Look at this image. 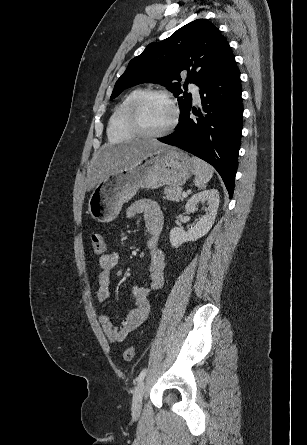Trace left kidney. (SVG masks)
I'll return each instance as SVG.
<instances>
[{"label": "left kidney", "instance_id": "1", "mask_svg": "<svg viewBox=\"0 0 307 445\" xmlns=\"http://www.w3.org/2000/svg\"><path fill=\"white\" fill-rule=\"evenodd\" d=\"M204 200H207L209 206L206 208L205 214L199 218L198 223H196L192 229H188V231H183L182 227H174V229H171L170 243L174 249H178L180 245L188 243V241H197V239L209 233L219 206L220 198L217 188H210V190H203V192L193 194L188 202H186L185 208L187 212H194L197 204L204 202Z\"/></svg>", "mask_w": 307, "mask_h": 445}]
</instances>
